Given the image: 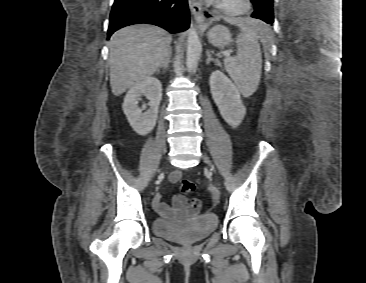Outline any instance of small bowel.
Listing matches in <instances>:
<instances>
[{"instance_id": "small-bowel-1", "label": "small bowel", "mask_w": 366, "mask_h": 283, "mask_svg": "<svg viewBox=\"0 0 366 283\" xmlns=\"http://www.w3.org/2000/svg\"><path fill=\"white\" fill-rule=\"evenodd\" d=\"M182 177V172L180 170H175L170 175V181L172 183L178 182ZM154 206L157 211L166 217H171L173 215V211L161 201V195L157 194L154 197ZM174 208L178 211H181L183 208V201L180 198L174 199Z\"/></svg>"}]
</instances>
